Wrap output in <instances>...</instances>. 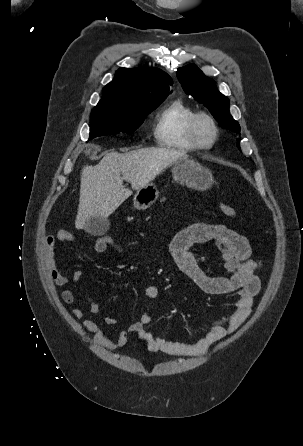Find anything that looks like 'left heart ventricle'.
<instances>
[{
    "mask_svg": "<svg viewBox=\"0 0 303 446\" xmlns=\"http://www.w3.org/2000/svg\"><path fill=\"white\" fill-rule=\"evenodd\" d=\"M197 132L200 140L203 143H209L213 137V130L206 120H201L197 126Z\"/></svg>",
    "mask_w": 303,
    "mask_h": 446,
    "instance_id": "1",
    "label": "left heart ventricle"
}]
</instances>
